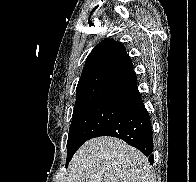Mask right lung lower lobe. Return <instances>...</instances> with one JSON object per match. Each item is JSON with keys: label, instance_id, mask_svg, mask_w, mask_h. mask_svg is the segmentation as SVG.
Here are the masks:
<instances>
[{"label": "right lung lower lobe", "instance_id": "right-lung-lower-lobe-1", "mask_svg": "<svg viewBox=\"0 0 196 182\" xmlns=\"http://www.w3.org/2000/svg\"><path fill=\"white\" fill-rule=\"evenodd\" d=\"M112 136L140 150L153 165V131L150 116L142 102L103 127L94 137ZM93 137V138H94Z\"/></svg>", "mask_w": 196, "mask_h": 182}]
</instances>
